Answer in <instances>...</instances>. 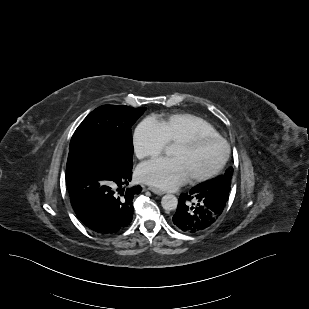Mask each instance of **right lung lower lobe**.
<instances>
[{
  "label": "right lung lower lobe",
  "instance_id": "1",
  "mask_svg": "<svg viewBox=\"0 0 309 309\" xmlns=\"http://www.w3.org/2000/svg\"><path fill=\"white\" fill-rule=\"evenodd\" d=\"M132 162L119 160L98 147L69 151L66 183L77 217L99 234L125 229L133 218V199L142 188L127 185Z\"/></svg>",
  "mask_w": 309,
  "mask_h": 309
}]
</instances>
